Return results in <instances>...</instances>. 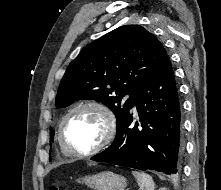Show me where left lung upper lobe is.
Here are the masks:
<instances>
[{"mask_svg":"<svg viewBox=\"0 0 221 190\" xmlns=\"http://www.w3.org/2000/svg\"><path fill=\"white\" fill-rule=\"evenodd\" d=\"M166 57L163 45L142 26L119 27L85 46L69 64L55 105L62 108L93 99L106 105L118 124L132 107L139 88ZM126 95L128 99H124ZM50 136L52 140L54 133Z\"/></svg>","mask_w":221,"mask_h":190,"instance_id":"obj_1","label":"left lung upper lobe"}]
</instances>
